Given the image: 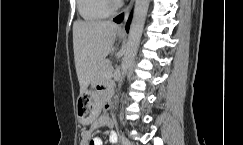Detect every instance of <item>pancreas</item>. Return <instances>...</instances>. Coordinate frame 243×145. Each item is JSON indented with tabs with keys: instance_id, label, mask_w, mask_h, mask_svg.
<instances>
[{
	"instance_id": "cf45deb5",
	"label": "pancreas",
	"mask_w": 243,
	"mask_h": 145,
	"mask_svg": "<svg viewBox=\"0 0 243 145\" xmlns=\"http://www.w3.org/2000/svg\"><path fill=\"white\" fill-rule=\"evenodd\" d=\"M112 67L109 61H103L99 67L97 78L98 79H108L112 76Z\"/></svg>"
}]
</instances>
